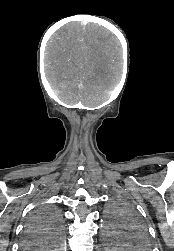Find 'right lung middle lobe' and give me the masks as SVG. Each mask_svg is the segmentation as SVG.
<instances>
[{"instance_id": "right-lung-middle-lobe-1", "label": "right lung middle lobe", "mask_w": 174, "mask_h": 251, "mask_svg": "<svg viewBox=\"0 0 174 251\" xmlns=\"http://www.w3.org/2000/svg\"><path fill=\"white\" fill-rule=\"evenodd\" d=\"M27 232L39 238L45 237L49 243L34 248L41 250L48 246L50 248H61L62 218L60 212L49 205H41L32 214Z\"/></svg>"}]
</instances>
